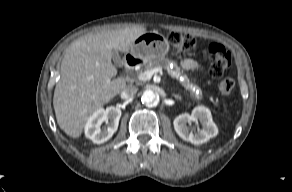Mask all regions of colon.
Listing matches in <instances>:
<instances>
[{
    "label": "colon",
    "instance_id": "5ec220e1",
    "mask_svg": "<svg viewBox=\"0 0 292 192\" xmlns=\"http://www.w3.org/2000/svg\"><path fill=\"white\" fill-rule=\"evenodd\" d=\"M169 41L180 57L193 53L197 46L193 37L177 32L169 35ZM208 51L211 73L214 77H221L231 65V54L222 44L216 42L209 45ZM233 88L234 80L230 77L222 78L218 85L219 93L222 96L229 95Z\"/></svg>",
    "mask_w": 292,
    "mask_h": 192
}]
</instances>
